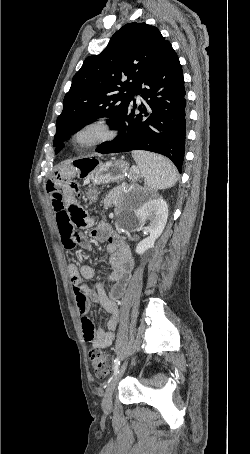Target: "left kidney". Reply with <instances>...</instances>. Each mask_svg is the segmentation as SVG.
Masks as SVG:
<instances>
[{"label":"left kidney","mask_w":250,"mask_h":454,"mask_svg":"<svg viewBox=\"0 0 250 454\" xmlns=\"http://www.w3.org/2000/svg\"><path fill=\"white\" fill-rule=\"evenodd\" d=\"M135 215L139 225L148 223L146 229L149 236L140 241L135 250L141 255L153 249L156 239L162 234L168 218V206L161 197L151 198L135 211Z\"/></svg>","instance_id":"obj_1"}]
</instances>
